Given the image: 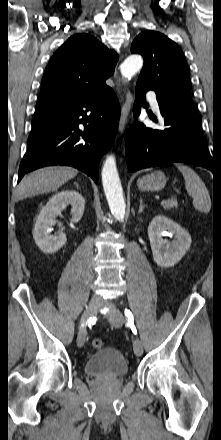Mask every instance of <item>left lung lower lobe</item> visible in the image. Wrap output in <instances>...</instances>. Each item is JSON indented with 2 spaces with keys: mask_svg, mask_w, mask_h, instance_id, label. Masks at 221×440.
<instances>
[{
  "mask_svg": "<svg viewBox=\"0 0 221 440\" xmlns=\"http://www.w3.org/2000/svg\"><path fill=\"white\" fill-rule=\"evenodd\" d=\"M151 90L137 82L134 115L140 114L145 92ZM165 129L146 128L135 122L126 139V161L130 172L171 162H184L205 167L214 172V162L203 135L201 116L175 101L157 96Z\"/></svg>",
  "mask_w": 221,
  "mask_h": 440,
  "instance_id": "left-lung-lower-lobe-1",
  "label": "left lung lower lobe"
}]
</instances>
